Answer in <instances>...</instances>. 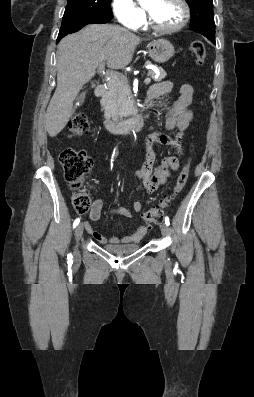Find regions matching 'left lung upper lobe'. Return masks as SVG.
Returning a JSON list of instances; mask_svg holds the SVG:
<instances>
[{
    "label": "left lung upper lobe",
    "instance_id": "5c2ea615",
    "mask_svg": "<svg viewBox=\"0 0 254 397\" xmlns=\"http://www.w3.org/2000/svg\"><path fill=\"white\" fill-rule=\"evenodd\" d=\"M191 9L190 27L215 29L212 0H186Z\"/></svg>",
    "mask_w": 254,
    "mask_h": 397
}]
</instances>
